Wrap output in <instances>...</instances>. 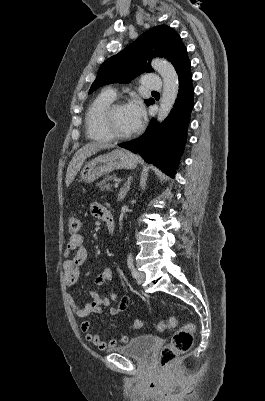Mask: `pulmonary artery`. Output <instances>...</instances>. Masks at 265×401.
<instances>
[{"mask_svg":"<svg viewBox=\"0 0 265 401\" xmlns=\"http://www.w3.org/2000/svg\"><path fill=\"white\" fill-rule=\"evenodd\" d=\"M147 90H162L163 89V77L162 75H147L145 78ZM110 92L115 95L114 90Z\"/></svg>","mask_w":265,"mask_h":401,"instance_id":"e3ab8cb5","label":"pulmonary artery"}]
</instances>
